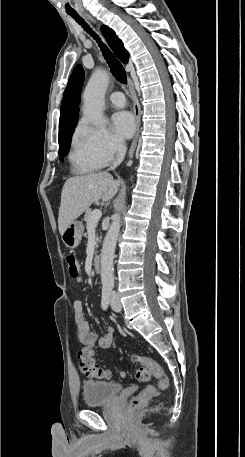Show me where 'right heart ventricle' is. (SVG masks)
I'll return each mask as SVG.
<instances>
[{"label": "right heart ventricle", "instance_id": "obj_1", "mask_svg": "<svg viewBox=\"0 0 245 457\" xmlns=\"http://www.w3.org/2000/svg\"><path fill=\"white\" fill-rule=\"evenodd\" d=\"M73 155L86 168L94 170L100 168L103 164L93 157L86 146L83 144L81 129L77 128L72 139Z\"/></svg>", "mask_w": 245, "mask_h": 457}]
</instances>
